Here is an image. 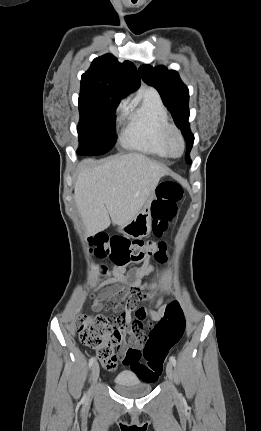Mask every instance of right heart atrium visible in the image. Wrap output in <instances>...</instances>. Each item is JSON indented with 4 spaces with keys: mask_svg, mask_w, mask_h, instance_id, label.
Listing matches in <instances>:
<instances>
[{
    "mask_svg": "<svg viewBox=\"0 0 261 431\" xmlns=\"http://www.w3.org/2000/svg\"><path fill=\"white\" fill-rule=\"evenodd\" d=\"M124 107H125V103L123 102V103L120 105L119 109H120V110H123V109H124Z\"/></svg>",
    "mask_w": 261,
    "mask_h": 431,
    "instance_id": "obj_1",
    "label": "right heart atrium"
}]
</instances>
